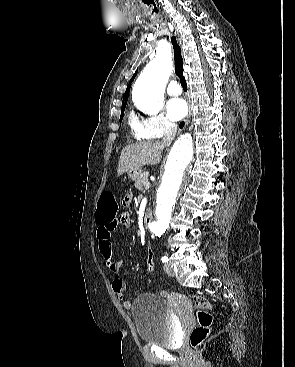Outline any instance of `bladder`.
I'll list each match as a JSON object with an SVG mask.
<instances>
[{"mask_svg":"<svg viewBox=\"0 0 295 367\" xmlns=\"http://www.w3.org/2000/svg\"><path fill=\"white\" fill-rule=\"evenodd\" d=\"M131 313L141 341L166 348L178 344V326L163 297L155 294L139 295L132 303Z\"/></svg>","mask_w":295,"mask_h":367,"instance_id":"1","label":"bladder"}]
</instances>
